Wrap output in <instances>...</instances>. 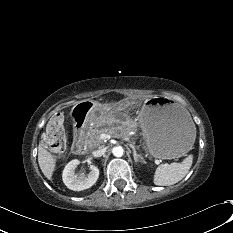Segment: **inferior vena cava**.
Masks as SVG:
<instances>
[{"label": "inferior vena cava", "instance_id": "1", "mask_svg": "<svg viewBox=\"0 0 233 233\" xmlns=\"http://www.w3.org/2000/svg\"><path fill=\"white\" fill-rule=\"evenodd\" d=\"M105 152H106V148H100L98 150L93 151L92 154L94 157H101L102 155L105 154Z\"/></svg>", "mask_w": 233, "mask_h": 233}]
</instances>
